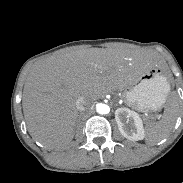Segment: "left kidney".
Instances as JSON below:
<instances>
[{
    "mask_svg": "<svg viewBox=\"0 0 183 183\" xmlns=\"http://www.w3.org/2000/svg\"><path fill=\"white\" fill-rule=\"evenodd\" d=\"M115 120L120 133L131 141L143 140L145 131L143 121L138 113L128 108H118L115 111Z\"/></svg>",
    "mask_w": 183,
    "mask_h": 183,
    "instance_id": "obj_1",
    "label": "left kidney"
}]
</instances>
